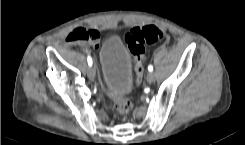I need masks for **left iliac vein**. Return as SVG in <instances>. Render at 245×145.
<instances>
[{
  "instance_id": "obj_1",
  "label": "left iliac vein",
  "mask_w": 245,
  "mask_h": 145,
  "mask_svg": "<svg viewBox=\"0 0 245 145\" xmlns=\"http://www.w3.org/2000/svg\"><path fill=\"white\" fill-rule=\"evenodd\" d=\"M147 81L149 83H153L155 81V74L152 73V72H149L148 75H147Z\"/></svg>"
}]
</instances>
